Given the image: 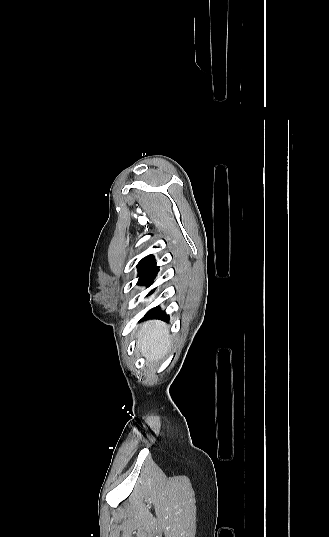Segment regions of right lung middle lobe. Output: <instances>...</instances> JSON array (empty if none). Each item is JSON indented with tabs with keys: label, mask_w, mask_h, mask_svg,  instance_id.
Returning <instances> with one entry per match:
<instances>
[{
	"label": "right lung middle lobe",
	"mask_w": 329,
	"mask_h": 537,
	"mask_svg": "<svg viewBox=\"0 0 329 537\" xmlns=\"http://www.w3.org/2000/svg\"><path fill=\"white\" fill-rule=\"evenodd\" d=\"M146 269H147V265H139L138 266L139 274L143 273Z\"/></svg>",
	"instance_id": "obj_1"
}]
</instances>
